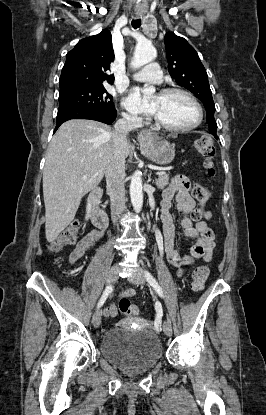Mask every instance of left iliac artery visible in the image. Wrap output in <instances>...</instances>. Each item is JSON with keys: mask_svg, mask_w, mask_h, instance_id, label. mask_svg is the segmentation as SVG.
<instances>
[{"mask_svg": "<svg viewBox=\"0 0 266 415\" xmlns=\"http://www.w3.org/2000/svg\"><path fill=\"white\" fill-rule=\"evenodd\" d=\"M145 278L148 281V283L156 290V292L159 294V296L163 297V291L159 284L157 283L156 279L152 276V274L145 270Z\"/></svg>", "mask_w": 266, "mask_h": 415, "instance_id": "left-iliac-artery-1", "label": "left iliac artery"}]
</instances>
